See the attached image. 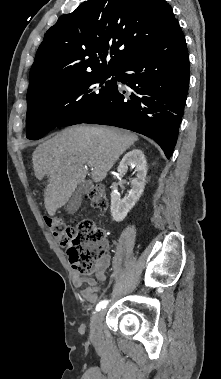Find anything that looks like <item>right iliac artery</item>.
Listing matches in <instances>:
<instances>
[{
    "mask_svg": "<svg viewBox=\"0 0 221 379\" xmlns=\"http://www.w3.org/2000/svg\"><path fill=\"white\" fill-rule=\"evenodd\" d=\"M108 302H109L108 300L100 301L96 306V310L100 311L101 309L105 308L107 306Z\"/></svg>",
    "mask_w": 221,
    "mask_h": 379,
    "instance_id": "right-iliac-artery-1",
    "label": "right iliac artery"
}]
</instances>
